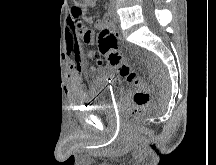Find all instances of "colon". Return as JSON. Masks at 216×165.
<instances>
[{"mask_svg": "<svg viewBox=\"0 0 216 165\" xmlns=\"http://www.w3.org/2000/svg\"><path fill=\"white\" fill-rule=\"evenodd\" d=\"M72 2L74 7L80 10L88 3V0H72ZM97 43V52L90 49L83 50L84 57L93 61L89 70L95 71L103 66H109L133 86V108L130 117L132 120H137L149 107L151 101L150 85L127 63L118 49V37L108 28H102L99 31Z\"/></svg>", "mask_w": 216, "mask_h": 165, "instance_id": "5ec220e1", "label": "colon"}]
</instances>
